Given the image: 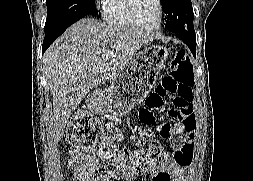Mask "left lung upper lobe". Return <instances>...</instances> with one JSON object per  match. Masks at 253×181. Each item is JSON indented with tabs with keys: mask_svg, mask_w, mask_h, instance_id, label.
I'll return each mask as SVG.
<instances>
[{
	"mask_svg": "<svg viewBox=\"0 0 253 181\" xmlns=\"http://www.w3.org/2000/svg\"><path fill=\"white\" fill-rule=\"evenodd\" d=\"M166 14L165 28L172 33L195 37L191 0H160Z\"/></svg>",
	"mask_w": 253,
	"mask_h": 181,
	"instance_id": "obj_1",
	"label": "left lung upper lobe"
}]
</instances>
